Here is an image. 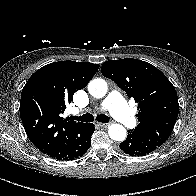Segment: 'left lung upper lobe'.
<instances>
[{
  "mask_svg": "<svg viewBox=\"0 0 196 196\" xmlns=\"http://www.w3.org/2000/svg\"><path fill=\"white\" fill-rule=\"evenodd\" d=\"M101 72L138 103L136 117L140 123L129 132L161 146L171 134L179 112L172 83L155 66L132 58L106 61Z\"/></svg>",
  "mask_w": 196,
  "mask_h": 196,
  "instance_id": "left-lung-upper-lobe-1",
  "label": "left lung upper lobe"
}]
</instances>
